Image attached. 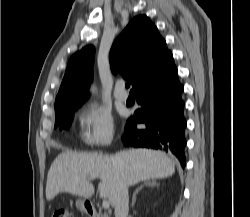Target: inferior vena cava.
Instances as JSON below:
<instances>
[{
    "label": "inferior vena cava",
    "instance_id": "obj_1",
    "mask_svg": "<svg viewBox=\"0 0 250 217\" xmlns=\"http://www.w3.org/2000/svg\"><path fill=\"white\" fill-rule=\"evenodd\" d=\"M115 217H127L129 211L128 185L122 182L117 190L115 202Z\"/></svg>",
    "mask_w": 250,
    "mask_h": 217
}]
</instances>
